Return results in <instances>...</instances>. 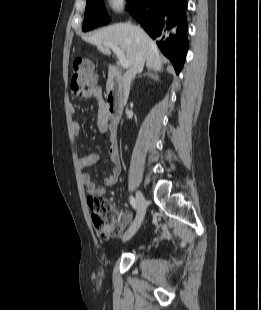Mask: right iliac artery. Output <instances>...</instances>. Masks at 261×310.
<instances>
[{
	"label": "right iliac artery",
	"instance_id": "obj_1",
	"mask_svg": "<svg viewBox=\"0 0 261 310\" xmlns=\"http://www.w3.org/2000/svg\"><path fill=\"white\" fill-rule=\"evenodd\" d=\"M130 204L132 205V207L136 210L137 209V202L135 200L134 197L130 198Z\"/></svg>",
	"mask_w": 261,
	"mask_h": 310
}]
</instances>
